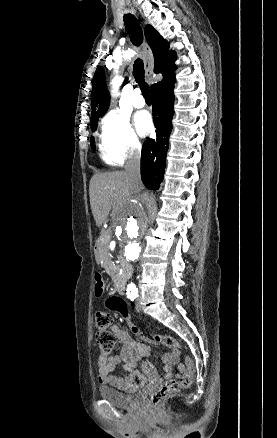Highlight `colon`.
I'll list each match as a JSON object with an SVG mask.
<instances>
[{
	"mask_svg": "<svg viewBox=\"0 0 277 438\" xmlns=\"http://www.w3.org/2000/svg\"><path fill=\"white\" fill-rule=\"evenodd\" d=\"M95 286L94 295L95 298L99 299L105 294L107 287L106 279L104 275L100 272H96L94 275ZM112 321V317L109 312L97 311L94 317V324L99 331L96 333V343L103 355L110 353L116 343L117 336L108 331L107 328ZM144 340L149 342H154L157 344H164L167 347L178 348L180 344L172 337L161 336L155 334L151 337L142 336ZM193 382V373L191 371L185 372L179 377V380H164L163 386L160 389H150L149 393L146 394L145 406L147 409H158L160 406L159 402H165V399L171 395L179 392L181 389L191 386Z\"/></svg>",
	"mask_w": 277,
	"mask_h": 438,
	"instance_id": "1",
	"label": "colon"
}]
</instances>
